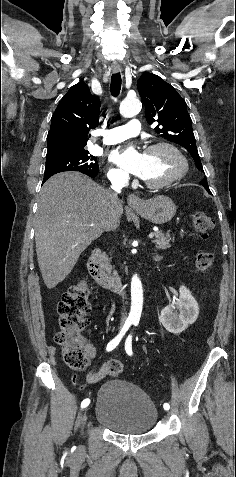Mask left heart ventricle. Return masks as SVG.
<instances>
[{
	"instance_id": "left-heart-ventricle-1",
	"label": "left heart ventricle",
	"mask_w": 236,
	"mask_h": 477,
	"mask_svg": "<svg viewBox=\"0 0 236 477\" xmlns=\"http://www.w3.org/2000/svg\"><path fill=\"white\" fill-rule=\"evenodd\" d=\"M180 169V160L168 149L160 148L145 153L142 178L150 182H161L175 175Z\"/></svg>"
}]
</instances>
